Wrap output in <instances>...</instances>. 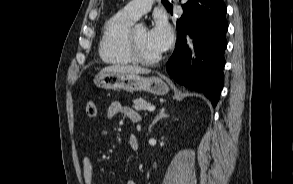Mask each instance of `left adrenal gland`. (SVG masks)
<instances>
[{
  "instance_id": "obj_1",
  "label": "left adrenal gland",
  "mask_w": 293,
  "mask_h": 184,
  "mask_svg": "<svg viewBox=\"0 0 293 184\" xmlns=\"http://www.w3.org/2000/svg\"><path fill=\"white\" fill-rule=\"evenodd\" d=\"M169 117V115H167L165 113V108H162L159 112V114L154 118V120L152 121V123L149 126V129H151L159 120L164 119Z\"/></svg>"
}]
</instances>
